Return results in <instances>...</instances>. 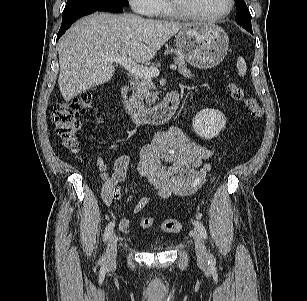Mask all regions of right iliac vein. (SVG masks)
Listing matches in <instances>:
<instances>
[{
	"label": "right iliac vein",
	"instance_id": "1",
	"mask_svg": "<svg viewBox=\"0 0 307 301\" xmlns=\"http://www.w3.org/2000/svg\"><path fill=\"white\" fill-rule=\"evenodd\" d=\"M117 242H118L117 235L114 233L111 234L108 240L106 256H105V264L109 267H112L116 264Z\"/></svg>",
	"mask_w": 307,
	"mask_h": 301
}]
</instances>
